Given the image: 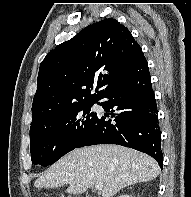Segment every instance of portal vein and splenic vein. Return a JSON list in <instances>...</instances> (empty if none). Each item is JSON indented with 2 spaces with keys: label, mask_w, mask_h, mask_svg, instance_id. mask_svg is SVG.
<instances>
[{
  "label": "portal vein and splenic vein",
  "mask_w": 191,
  "mask_h": 197,
  "mask_svg": "<svg viewBox=\"0 0 191 197\" xmlns=\"http://www.w3.org/2000/svg\"><path fill=\"white\" fill-rule=\"evenodd\" d=\"M102 188H103V184L102 183H96L95 184V189L96 190H102Z\"/></svg>",
  "instance_id": "portal-vein-and-splenic-vein-1"
}]
</instances>
